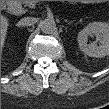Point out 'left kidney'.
<instances>
[{
  "label": "left kidney",
  "instance_id": "1",
  "mask_svg": "<svg viewBox=\"0 0 109 109\" xmlns=\"http://www.w3.org/2000/svg\"><path fill=\"white\" fill-rule=\"evenodd\" d=\"M95 35L100 42L87 44L88 36ZM78 44L82 52L90 57L101 58L109 54V26L105 22L89 23L78 33Z\"/></svg>",
  "mask_w": 109,
  "mask_h": 109
}]
</instances>
